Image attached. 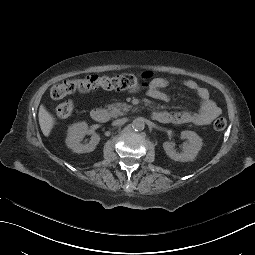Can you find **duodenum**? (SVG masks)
Segmentation results:
<instances>
[{"instance_id": "duodenum-1", "label": "duodenum", "mask_w": 255, "mask_h": 255, "mask_svg": "<svg viewBox=\"0 0 255 255\" xmlns=\"http://www.w3.org/2000/svg\"><path fill=\"white\" fill-rule=\"evenodd\" d=\"M90 117L96 122L103 123L109 119V113L101 107H95L91 109ZM152 118L160 123H169L171 121V115L166 111H154L152 112Z\"/></svg>"}]
</instances>
